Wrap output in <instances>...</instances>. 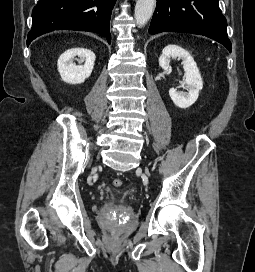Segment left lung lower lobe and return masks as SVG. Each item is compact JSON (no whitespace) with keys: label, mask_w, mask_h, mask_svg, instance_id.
<instances>
[{"label":"left lung lower lobe","mask_w":255,"mask_h":272,"mask_svg":"<svg viewBox=\"0 0 255 272\" xmlns=\"http://www.w3.org/2000/svg\"><path fill=\"white\" fill-rule=\"evenodd\" d=\"M160 32L200 34L232 49L218 0H157L149 33Z\"/></svg>","instance_id":"1"}]
</instances>
